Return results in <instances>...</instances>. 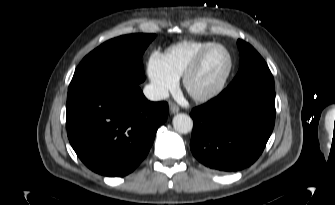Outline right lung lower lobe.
I'll list each match as a JSON object with an SVG mask.
<instances>
[{"mask_svg":"<svg viewBox=\"0 0 335 205\" xmlns=\"http://www.w3.org/2000/svg\"><path fill=\"white\" fill-rule=\"evenodd\" d=\"M166 102H150L138 85L94 84L68 93L67 135L80 160L110 177L131 173L145 158Z\"/></svg>","mask_w":335,"mask_h":205,"instance_id":"right-lung-lower-lobe-1","label":"right lung lower lobe"}]
</instances>
